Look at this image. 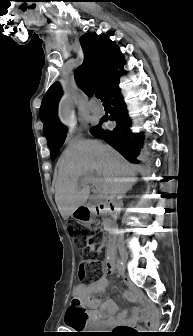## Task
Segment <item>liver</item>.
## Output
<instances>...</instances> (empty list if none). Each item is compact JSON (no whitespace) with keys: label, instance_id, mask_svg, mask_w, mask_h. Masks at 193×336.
<instances>
[{"label":"liver","instance_id":"obj_1","mask_svg":"<svg viewBox=\"0 0 193 336\" xmlns=\"http://www.w3.org/2000/svg\"><path fill=\"white\" fill-rule=\"evenodd\" d=\"M96 171L100 179L93 182L102 198L121 196L137 181L136 167L109 145L97 140H80L65 149L58 161L55 202L64 220L84 206L90 186L82 176Z\"/></svg>","mask_w":193,"mask_h":336}]
</instances>
